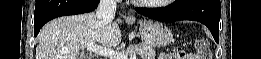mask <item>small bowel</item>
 I'll list each match as a JSON object with an SVG mask.
<instances>
[{
    "instance_id": "1",
    "label": "small bowel",
    "mask_w": 261,
    "mask_h": 59,
    "mask_svg": "<svg viewBox=\"0 0 261 59\" xmlns=\"http://www.w3.org/2000/svg\"><path fill=\"white\" fill-rule=\"evenodd\" d=\"M188 56H190V57H196V56H194V55H192V54H188ZM159 59H172V56L169 54V55H164V54H162L160 57H159ZM191 59H195V58H191Z\"/></svg>"
}]
</instances>
